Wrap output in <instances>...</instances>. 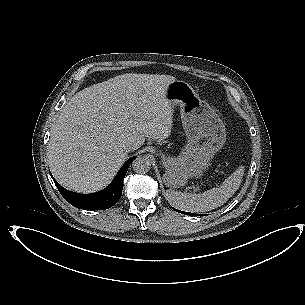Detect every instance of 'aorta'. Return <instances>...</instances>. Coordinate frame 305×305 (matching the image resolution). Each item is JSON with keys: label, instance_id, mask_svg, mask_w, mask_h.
Masks as SVG:
<instances>
[{"label": "aorta", "instance_id": "762f6f07", "mask_svg": "<svg viewBox=\"0 0 305 305\" xmlns=\"http://www.w3.org/2000/svg\"><path fill=\"white\" fill-rule=\"evenodd\" d=\"M132 169L139 174H145L151 169V161L147 156H137L132 162Z\"/></svg>", "mask_w": 305, "mask_h": 305}]
</instances>
